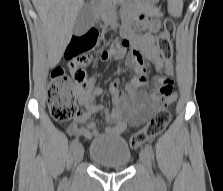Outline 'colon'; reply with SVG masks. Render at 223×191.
<instances>
[{
    "mask_svg": "<svg viewBox=\"0 0 223 191\" xmlns=\"http://www.w3.org/2000/svg\"><path fill=\"white\" fill-rule=\"evenodd\" d=\"M175 23L171 18L164 20V30L158 36L157 47L163 58V77L169 78L175 69L176 59L172 55V38L175 34ZM98 31L90 30L84 34L74 36L65 50V57L70 60V75L62 68L52 74L48 88V105L51 116L59 122L69 121L78 114L75 86L81 88L91 84L86 67L91 63L87 52L97 43ZM123 48H129L127 40L122 41ZM140 83H147L146 74L140 76ZM170 120V113L166 108L156 111L148 124L130 136L129 143L134 149L141 148L144 143L159 135Z\"/></svg>",
    "mask_w": 223,
    "mask_h": 191,
    "instance_id": "obj_1",
    "label": "colon"
}]
</instances>
